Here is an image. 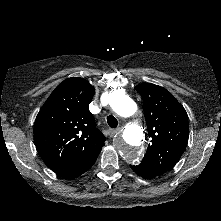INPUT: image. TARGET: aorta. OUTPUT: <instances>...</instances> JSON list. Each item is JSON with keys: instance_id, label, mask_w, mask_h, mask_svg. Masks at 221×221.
I'll list each match as a JSON object with an SVG mask.
<instances>
[{"instance_id": "aorta-1", "label": "aorta", "mask_w": 221, "mask_h": 221, "mask_svg": "<svg viewBox=\"0 0 221 221\" xmlns=\"http://www.w3.org/2000/svg\"><path fill=\"white\" fill-rule=\"evenodd\" d=\"M109 104L122 118L131 117L137 110L136 103L121 91H113L109 95ZM144 137V130L140 125L129 123L125 126L117 138V148L126 161L137 163L140 160Z\"/></svg>"}]
</instances>
